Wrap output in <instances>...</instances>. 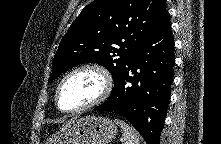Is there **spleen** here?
I'll list each match as a JSON object with an SVG mask.
<instances>
[{
	"mask_svg": "<svg viewBox=\"0 0 221 144\" xmlns=\"http://www.w3.org/2000/svg\"><path fill=\"white\" fill-rule=\"evenodd\" d=\"M114 122L119 125L123 131L124 144H140L139 135L135 129L122 120L115 119Z\"/></svg>",
	"mask_w": 221,
	"mask_h": 144,
	"instance_id": "3e777b00",
	"label": "spleen"
}]
</instances>
